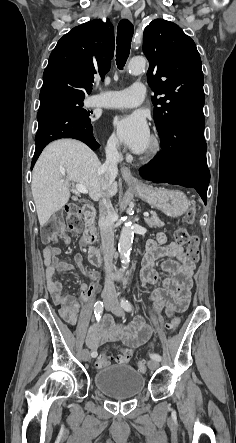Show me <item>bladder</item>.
<instances>
[{
    "label": "bladder",
    "instance_id": "bladder-1",
    "mask_svg": "<svg viewBox=\"0 0 236 443\" xmlns=\"http://www.w3.org/2000/svg\"><path fill=\"white\" fill-rule=\"evenodd\" d=\"M98 390L110 398L127 399L144 388L145 376L128 365H110L97 370L93 377Z\"/></svg>",
    "mask_w": 236,
    "mask_h": 443
}]
</instances>
